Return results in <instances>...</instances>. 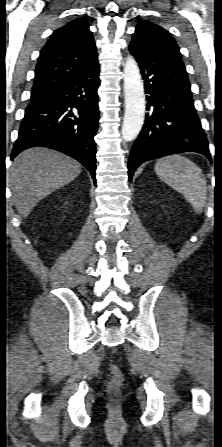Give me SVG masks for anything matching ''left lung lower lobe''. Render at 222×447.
Returning a JSON list of instances; mask_svg holds the SVG:
<instances>
[{"label":"left lung lower lobe","mask_w":222,"mask_h":447,"mask_svg":"<svg viewBox=\"0 0 222 447\" xmlns=\"http://www.w3.org/2000/svg\"><path fill=\"white\" fill-rule=\"evenodd\" d=\"M130 52L141 69L149 112L130 153L129 181L140 164L166 155L191 151L211 159L183 61L138 37L132 38Z\"/></svg>","instance_id":"1"}]
</instances>
